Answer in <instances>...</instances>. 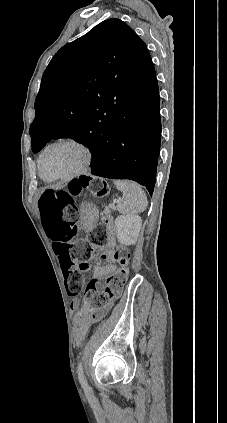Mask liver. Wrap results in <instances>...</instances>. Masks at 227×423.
Listing matches in <instances>:
<instances>
[{"mask_svg": "<svg viewBox=\"0 0 227 423\" xmlns=\"http://www.w3.org/2000/svg\"><path fill=\"white\" fill-rule=\"evenodd\" d=\"M58 188H64V186H61V184H59Z\"/></svg>", "mask_w": 227, "mask_h": 423, "instance_id": "1", "label": "liver"}]
</instances>
